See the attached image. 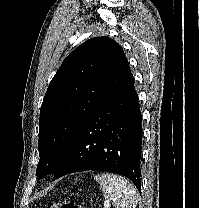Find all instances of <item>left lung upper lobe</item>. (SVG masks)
Instances as JSON below:
<instances>
[{
    "label": "left lung upper lobe",
    "instance_id": "1",
    "mask_svg": "<svg viewBox=\"0 0 199 208\" xmlns=\"http://www.w3.org/2000/svg\"><path fill=\"white\" fill-rule=\"evenodd\" d=\"M129 72L123 49L108 37L89 39L67 56L40 110L39 178L54 174L83 123Z\"/></svg>",
    "mask_w": 199,
    "mask_h": 208
}]
</instances>
